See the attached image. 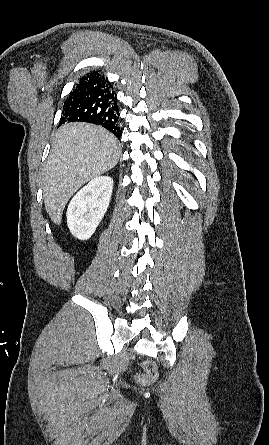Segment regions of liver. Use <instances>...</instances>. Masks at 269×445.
<instances>
[{
	"label": "liver",
	"instance_id": "obj_1",
	"mask_svg": "<svg viewBox=\"0 0 269 445\" xmlns=\"http://www.w3.org/2000/svg\"><path fill=\"white\" fill-rule=\"evenodd\" d=\"M120 153L117 139L100 126L73 122L58 129L42 173L45 209L55 224L73 194L114 168Z\"/></svg>",
	"mask_w": 269,
	"mask_h": 445
}]
</instances>
